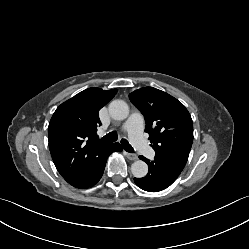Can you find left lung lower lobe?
I'll return each mask as SVG.
<instances>
[{"mask_svg":"<svg viewBox=\"0 0 249 249\" xmlns=\"http://www.w3.org/2000/svg\"><path fill=\"white\" fill-rule=\"evenodd\" d=\"M148 164L149 172L143 178H134L141 189L149 192H158L169 187L180 175L181 171L167 167L156 160L150 161L143 156L139 157Z\"/></svg>","mask_w":249,"mask_h":249,"instance_id":"obj_1","label":"left lung lower lobe"}]
</instances>
